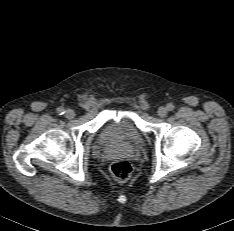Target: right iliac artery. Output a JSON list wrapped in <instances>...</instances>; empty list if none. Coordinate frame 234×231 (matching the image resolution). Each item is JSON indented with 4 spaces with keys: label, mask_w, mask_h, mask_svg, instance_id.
<instances>
[{
    "label": "right iliac artery",
    "mask_w": 234,
    "mask_h": 231,
    "mask_svg": "<svg viewBox=\"0 0 234 231\" xmlns=\"http://www.w3.org/2000/svg\"><path fill=\"white\" fill-rule=\"evenodd\" d=\"M57 113H58L59 115L64 114V113H65L64 108H63V107H59V108H57Z\"/></svg>",
    "instance_id": "1"
}]
</instances>
